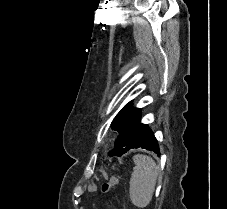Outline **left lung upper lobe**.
<instances>
[{"label":"left lung upper lobe","instance_id":"5c2ea615","mask_svg":"<svg viewBox=\"0 0 227 209\" xmlns=\"http://www.w3.org/2000/svg\"><path fill=\"white\" fill-rule=\"evenodd\" d=\"M131 106L132 102H129L112 121L111 127L119 135L115 141L114 149L110 152V156L120 157L126 153L135 139L140 126L141 109L132 108Z\"/></svg>","mask_w":227,"mask_h":209}]
</instances>
